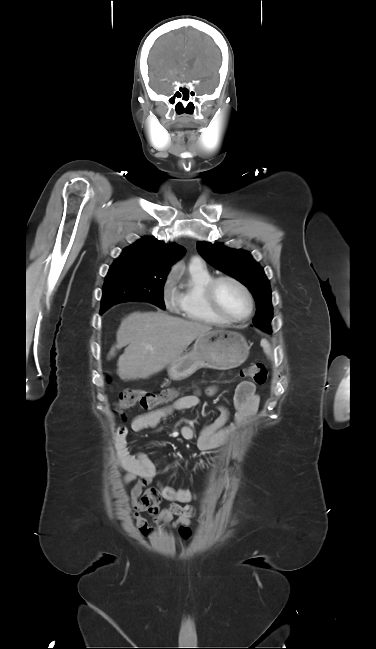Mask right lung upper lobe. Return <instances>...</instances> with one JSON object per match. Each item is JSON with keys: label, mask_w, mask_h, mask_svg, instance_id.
Returning <instances> with one entry per match:
<instances>
[{"label": "right lung upper lobe", "mask_w": 376, "mask_h": 649, "mask_svg": "<svg viewBox=\"0 0 376 649\" xmlns=\"http://www.w3.org/2000/svg\"><path fill=\"white\" fill-rule=\"evenodd\" d=\"M185 249L176 244H165L151 237H144L125 248L118 259H130L143 264L149 272H168Z\"/></svg>", "instance_id": "cb5924a9"}]
</instances>
